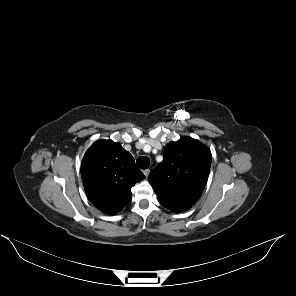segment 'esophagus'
<instances>
[{
	"label": "esophagus",
	"instance_id": "1",
	"mask_svg": "<svg viewBox=\"0 0 296 296\" xmlns=\"http://www.w3.org/2000/svg\"><path fill=\"white\" fill-rule=\"evenodd\" d=\"M149 173H150V170L149 169L144 170V175L146 176V178H148Z\"/></svg>",
	"mask_w": 296,
	"mask_h": 296
}]
</instances>
